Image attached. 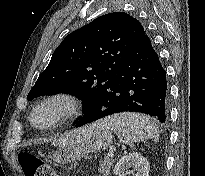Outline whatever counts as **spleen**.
I'll return each mask as SVG.
<instances>
[{"label":"spleen","mask_w":205,"mask_h":176,"mask_svg":"<svg viewBox=\"0 0 205 176\" xmlns=\"http://www.w3.org/2000/svg\"><path fill=\"white\" fill-rule=\"evenodd\" d=\"M97 124L114 131L124 144L132 145L146 139H152L155 142L159 140L157 125L146 115L130 112L118 113L101 119Z\"/></svg>","instance_id":"spleen-1"}]
</instances>
